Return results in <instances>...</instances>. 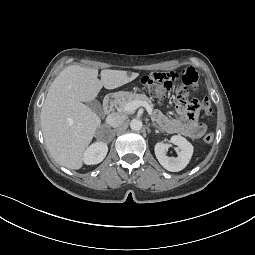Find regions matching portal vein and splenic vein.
Masks as SVG:
<instances>
[{"label":"portal vein and splenic vein","mask_w":255,"mask_h":255,"mask_svg":"<svg viewBox=\"0 0 255 255\" xmlns=\"http://www.w3.org/2000/svg\"><path fill=\"white\" fill-rule=\"evenodd\" d=\"M141 106L145 107V109L147 110L148 114L151 115V113H152L151 106L148 103L143 102V101H139V100H134V101H131V102L127 103L124 106L123 109L126 112H133V111H135L136 109H138Z\"/></svg>","instance_id":"portal-vein-and-splenic-vein-1"}]
</instances>
